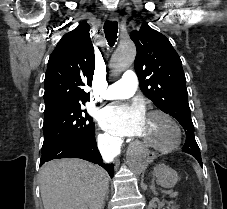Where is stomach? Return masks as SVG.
<instances>
[{"label": "stomach", "instance_id": "obj_1", "mask_svg": "<svg viewBox=\"0 0 227 209\" xmlns=\"http://www.w3.org/2000/svg\"><path fill=\"white\" fill-rule=\"evenodd\" d=\"M154 173L158 184L164 188H172L178 182L177 172L163 164L156 166Z\"/></svg>", "mask_w": 227, "mask_h": 209}]
</instances>
